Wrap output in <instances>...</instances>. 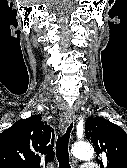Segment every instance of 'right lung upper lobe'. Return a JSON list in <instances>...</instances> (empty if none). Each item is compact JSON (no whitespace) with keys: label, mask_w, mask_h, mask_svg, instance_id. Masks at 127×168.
<instances>
[{"label":"right lung upper lobe","mask_w":127,"mask_h":168,"mask_svg":"<svg viewBox=\"0 0 127 168\" xmlns=\"http://www.w3.org/2000/svg\"><path fill=\"white\" fill-rule=\"evenodd\" d=\"M35 115L0 133V168H43L54 157V130Z\"/></svg>","instance_id":"1"}]
</instances>
